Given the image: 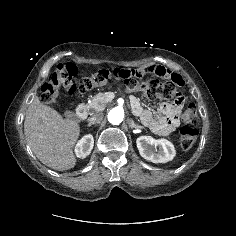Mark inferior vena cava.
<instances>
[{
  "label": "inferior vena cava",
  "instance_id": "602c4592",
  "mask_svg": "<svg viewBox=\"0 0 236 236\" xmlns=\"http://www.w3.org/2000/svg\"><path fill=\"white\" fill-rule=\"evenodd\" d=\"M102 119H103V114L98 113L92 116L91 118H89L88 122H89V125L98 124L102 121Z\"/></svg>",
  "mask_w": 236,
  "mask_h": 236
}]
</instances>
